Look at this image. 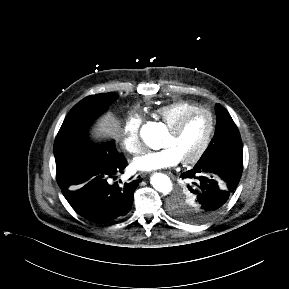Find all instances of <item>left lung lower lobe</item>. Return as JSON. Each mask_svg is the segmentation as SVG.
Returning a JSON list of instances; mask_svg holds the SVG:
<instances>
[{"mask_svg":"<svg viewBox=\"0 0 289 289\" xmlns=\"http://www.w3.org/2000/svg\"><path fill=\"white\" fill-rule=\"evenodd\" d=\"M242 169V161H222L181 174L194 181L188 189L200 218L209 220L223 209L239 183Z\"/></svg>","mask_w":289,"mask_h":289,"instance_id":"1","label":"left lung lower lobe"}]
</instances>
